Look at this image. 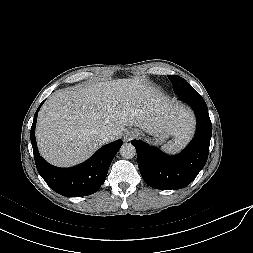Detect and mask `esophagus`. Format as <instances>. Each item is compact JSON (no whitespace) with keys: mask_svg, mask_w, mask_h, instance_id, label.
<instances>
[{"mask_svg":"<svg viewBox=\"0 0 253 253\" xmlns=\"http://www.w3.org/2000/svg\"><path fill=\"white\" fill-rule=\"evenodd\" d=\"M138 136V132L134 129L126 130L124 133V140L125 141H131L132 139L136 138Z\"/></svg>","mask_w":253,"mask_h":253,"instance_id":"34e87169","label":"esophagus"}]
</instances>
